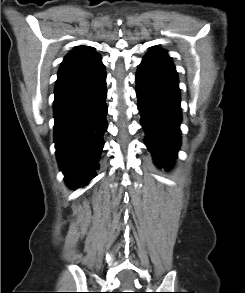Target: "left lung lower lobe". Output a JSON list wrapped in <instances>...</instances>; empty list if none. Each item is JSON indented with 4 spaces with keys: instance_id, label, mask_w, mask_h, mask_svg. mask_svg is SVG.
<instances>
[{
    "instance_id": "left-lung-lower-lobe-1",
    "label": "left lung lower lobe",
    "mask_w": 245,
    "mask_h": 293,
    "mask_svg": "<svg viewBox=\"0 0 245 293\" xmlns=\"http://www.w3.org/2000/svg\"><path fill=\"white\" fill-rule=\"evenodd\" d=\"M138 109L145 144L155 162L169 167L180 147L181 106L177 72L165 50L146 54L136 74Z\"/></svg>"
}]
</instances>
